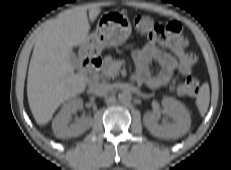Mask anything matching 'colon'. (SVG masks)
Instances as JSON below:
<instances>
[{
    "label": "colon",
    "instance_id": "colon-1",
    "mask_svg": "<svg viewBox=\"0 0 231 170\" xmlns=\"http://www.w3.org/2000/svg\"><path fill=\"white\" fill-rule=\"evenodd\" d=\"M134 26L138 33L149 38H161L164 35V26L157 24L147 15H138L134 19ZM200 80L195 75H188L186 79L176 85L173 90L181 96H194L198 93Z\"/></svg>",
    "mask_w": 231,
    "mask_h": 170
}]
</instances>
